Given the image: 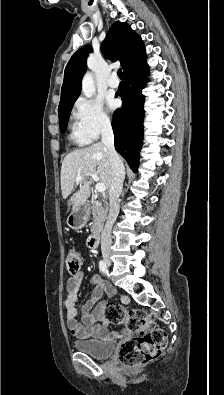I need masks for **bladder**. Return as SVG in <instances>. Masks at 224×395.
I'll return each mask as SVG.
<instances>
[{
	"mask_svg": "<svg viewBox=\"0 0 224 395\" xmlns=\"http://www.w3.org/2000/svg\"><path fill=\"white\" fill-rule=\"evenodd\" d=\"M74 347L78 352L86 354L95 359H105L111 356L114 351L113 341H102L96 339L76 340Z\"/></svg>",
	"mask_w": 224,
	"mask_h": 395,
	"instance_id": "bladder-1",
	"label": "bladder"
}]
</instances>
